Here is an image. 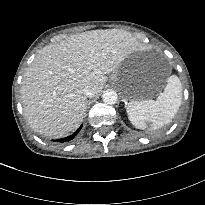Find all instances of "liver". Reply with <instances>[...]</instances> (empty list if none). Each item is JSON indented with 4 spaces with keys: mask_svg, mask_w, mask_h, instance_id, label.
<instances>
[{
    "mask_svg": "<svg viewBox=\"0 0 205 205\" xmlns=\"http://www.w3.org/2000/svg\"><path fill=\"white\" fill-rule=\"evenodd\" d=\"M138 48L136 39L118 29L72 35L42 48L24 73L21 100L30 127L50 138L75 131L86 112L83 89L98 95L115 71Z\"/></svg>",
    "mask_w": 205,
    "mask_h": 205,
    "instance_id": "liver-1",
    "label": "liver"
}]
</instances>
